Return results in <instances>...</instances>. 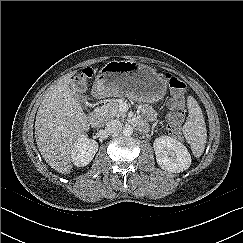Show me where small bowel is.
Instances as JSON below:
<instances>
[{
    "instance_id": "1",
    "label": "small bowel",
    "mask_w": 243,
    "mask_h": 243,
    "mask_svg": "<svg viewBox=\"0 0 243 243\" xmlns=\"http://www.w3.org/2000/svg\"><path fill=\"white\" fill-rule=\"evenodd\" d=\"M145 114L148 116V117H153L155 115V112L152 108H146L145 109ZM145 124V123H144Z\"/></svg>"
}]
</instances>
